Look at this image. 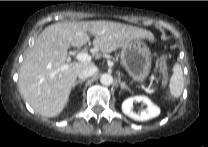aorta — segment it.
<instances>
[{
	"label": "aorta",
	"instance_id": "obj_1",
	"mask_svg": "<svg viewBox=\"0 0 208 147\" xmlns=\"http://www.w3.org/2000/svg\"><path fill=\"white\" fill-rule=\"evenodd\" d=\"M100 82L105 86L111 85L113 83V77L108 73L102 74L100 77Z\"/></svg>",
	"mask_w": 208,
	"mask_h": 147
}]
</instances>
